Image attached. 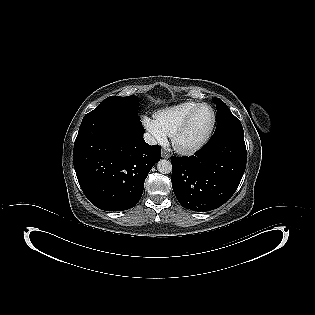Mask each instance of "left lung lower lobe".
Returning a JSON list of instances; mask_svg holds the SVG:
<instances>
[{
    "instance_id": "1",
    "label": "left lung lower lobe",
    "mask_w": 315,
    "mask_h": 315,
    "mask_svg": "<svg viewBox=\"0 0 315 315\" xmlns=\"http://www.w3.org/2000/svg\"><path fill=\"white\" fill-rule=\"evenodd\" d=\"M247 160L244 136L223 135L210 140L190 157H173L172 187L187 209L218 208L235 193Z\"/></svg>"
}]
</instances>
